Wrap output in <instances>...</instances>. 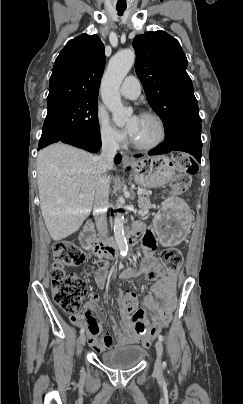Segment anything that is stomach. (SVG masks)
Instances as JSON below:
<instances>
[{
    "mask_svg": "<svg viewBox=\"0 0 243 404\" xmlns=\"http://www.w3.org/2000/svg\"><path fill=\"white\" fill-rule=\"evenodd\" d=\"M131 168L135 182L145 188L164 186L175 176V164L165 155L140 158L131 163ZM191 220L189 207L183 200L166 199L154 218L162 244L178 245L188 233Z\"/></svg>",
    "mask_w": 243,
    "mask_h": 404,
    "instance_id": "0dacf381",
    "label": "stomach"
}]
</instances>
